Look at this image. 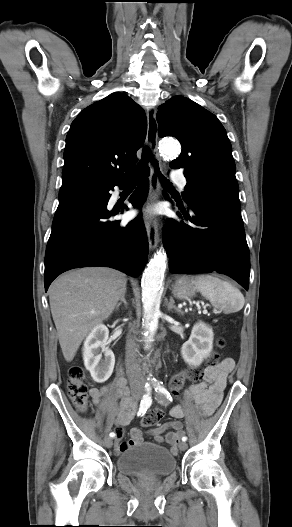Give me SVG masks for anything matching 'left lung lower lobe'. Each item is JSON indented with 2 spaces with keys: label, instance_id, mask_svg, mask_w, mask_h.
<instances>
[{
  "label": "left lung lower lobe",
  "instance_id": "0a47b994",
  "mask_svg": "<svg viewBox=\"0 0 292 527\" xmlns=\"http://www.w3.org/2000/svg\"><path fill=\"white\" fill-rule=\"evenodd\" d=\"M167 197L166 192H163ZM177 215L189 223L168 219L163 228L170 255V272L179 274L216 271L249 286L250 254L239 201L202 197L187 201Z\"/></svg>",
  "mask_w": 292,
  "mask_h": 527
}]
</instances>
